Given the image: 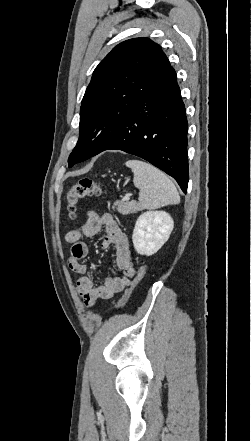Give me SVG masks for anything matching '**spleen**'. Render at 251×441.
I'll return each mask as SVG.
<instances>
[{
    "label": "spleen",
    "instance_id": "3e777b00",
    "mask_svg": "<svg viewBox=\"0 0 251 441\" xmlns=\"http://www.w3.org/2000/svg\"><path fill=\"white\" fill-rule=\"evenodd\" d=\"M126 166L131 168L133 183L139 192V202L144 209H156L180 202L179 193L169 177L141 160H128Z\"/></svg>",
    "mask_w": 251,
    "mask_h": 441
}]
</instances>
